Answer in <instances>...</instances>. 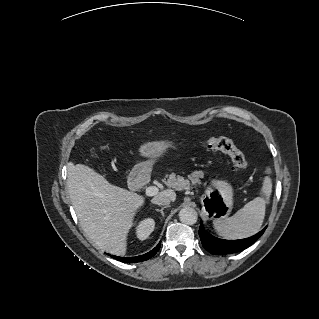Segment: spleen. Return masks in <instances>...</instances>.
I'll list each match as a JSON object with an SVG mask.
<instances>
[{"mask_svg":"<svg viewBox=\"0 0 319 319\" xmlns=\"http://www.w3.org/2000/svg\"><path fill=\"white\" fill-rule=\"evenodd\" d=\"M266 173L270 174L271 169L267 168ZM271 193L272 180L266 176L261 188L264 197L254 198L229 218L215 220L214 227L217 233L227 239H243L256 234L263 223Z\"/></svg>","mask_w":319,"mask_h":319,"instance_id":"spleen-1","label":"spleen"}]
</instances>
